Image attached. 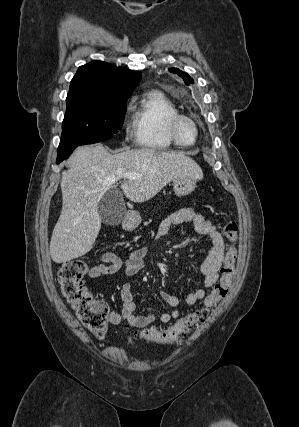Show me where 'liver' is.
I'll return each instance as SVG.
<instances>
[{
  "label": "liver",
  "instance_id": "liver-1",
  "mask_svg": "<svg viewBox=\"0 0 299 427\" xmlns=\"http://www.w3.org/2000/svg\"><path fill=\"white\" fill-rule=\"evenodd\" d=\"M70 168L62 172V211L51 241L50 255L64 263L88 253L101 228L98 204L106 193L103 181L131 173L136 179L120 177L121 189L132 202L150 200L168 183L181 177L203 178L200 166L181 152L150 148L110 154L101 145H86L75 150Z\"/></svg>",
  "mask_w": 299,
  "mask_h": 427
}]
</instances>
